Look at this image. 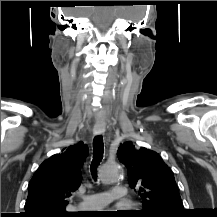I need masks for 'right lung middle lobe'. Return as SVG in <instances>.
Instances as JSON below:
<instances>
[{"label": "right lung middle lobe", "mask_w": 217, "mask_h": 217, "mask_svg": "<svg viewBox=\"0 0 217 217\" xmlns=\"http://www.w3.org/2000/svg\"><path fill=\"white\" fill-rule=\"evenodd\" d=\"M56 217H73V214L72 215H59V216H56Z\"/></svg>", "instance_id": "right-lung-middle-lobe-1"}]
</instances>
